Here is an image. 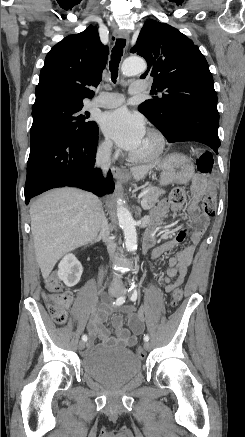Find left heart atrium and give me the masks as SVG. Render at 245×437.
I'll use <instances>...</instances> for the list:
<instances>
[{"label": "left heart atrium", "mask_w": 245, "mask_h": 437, "mask_svg": "<svg viewBox=\"0 0 245 437\" xmlns=\"http://www.w3.org/2000/svg\"><path fill=\"white\" fill-rule=\"evenodd\" d=\"M100 127L103 133L120 148L132 154L146 135L142 117L126 108H119L103 114Z\"/></svg>", "instance_id": "obj_1"}]
</instances>
